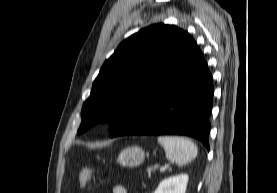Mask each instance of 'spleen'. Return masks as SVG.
<instances>
[{"label": "spleen", "instance_id": "1", "mask_svg": "<svg viewBox=\"0 0 277 193\" xmlns=\"http://www.w3.org/2000/svg\"><path fill=\"white\" fill-rule=\"evenodd\" d=\"M158 143L164 147L166 158L183 166L196 158L197 146L188 138L180 136H159Z\"/></svg>", "mask_w": 277, "mask_h": 193}]
</instances>
